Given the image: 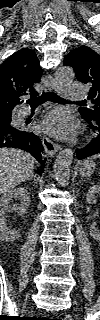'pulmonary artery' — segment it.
Returning a JSON list of instances; mask_svg holds the SVG:
<instances>
[{
    "label": "pulmonary artery",
    "mask_w": 100,
    "mask_h": 320,
    "mask_svg": "<svg viewBox=\"0 0 100 320\" xmlns=\"http://www.w3.org/2000/svg\"><path fill=\"white\" fill-rule=\"evenodd\" d=\"M67 90V99L71 101L84 99L87 94L86 88L79 83L69 84Z\"/></svg>",
    "instance_id": "obj_1"
}]
</instances>
